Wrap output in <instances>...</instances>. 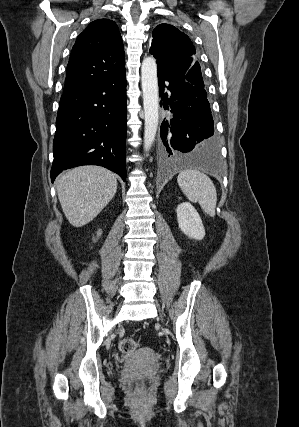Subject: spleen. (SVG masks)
<instances>
[{"label":"spleen","mask_w":299,"mask_h":427,"mask_svg":"<svg viewBox=\"0 0 299 427\" xmlns=\"http://www.w3.org/2000/svg\"><path fill=\"white\" fill-rule=\"evenodd\" d=\"M177 182L190 201L199 202L205 213L215 216L217 192L207 175L198 170H184L179 173Z\"/></svg>","instance_id":"spleen-1"}]
</instances>
